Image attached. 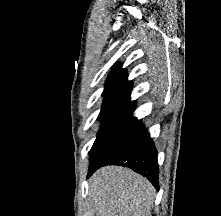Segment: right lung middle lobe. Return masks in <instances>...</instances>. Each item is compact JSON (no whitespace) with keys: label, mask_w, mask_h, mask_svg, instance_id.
Returning <instances> with one entry per match:
<instances>
[{"label":"right lung middle lobe","mask_w":221,"mask_h":216,"mask_svg":"<svg viewBox=\"0 0 221 216\" xmlns=\"http://www.w3.org/2000/svg\"><path fill=\"white\" fill-rule=\"evenodd\" d=\"M101 129L90 153V165L108 161L116 153L129 147L144 135L141 120L131 115L102 119Z\"/></svg>","instance_id":"right-lung-middle-lobe-1"}]
</instances>
